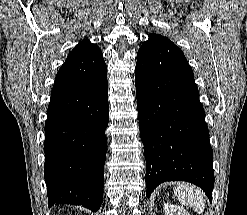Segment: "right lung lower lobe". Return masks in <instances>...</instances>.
Masks as SVG:
<instances>
[{"mask_svg":"<svg viewBox=\"0 0 247 215\" xmlns=\"http://www.w3.org/2000/svg\"><path fill=\"white\" fill-rule=\"evenodd\" d=\"M107 68L100 49L68 56L45 122L44 177L49 208L102 203L108 126Z\"/></svg>","mask_w":247,"mask_h":215,"instance_id":"1","label":"right lung lower lobe"}]
</instances>
